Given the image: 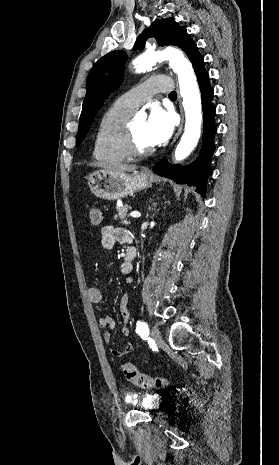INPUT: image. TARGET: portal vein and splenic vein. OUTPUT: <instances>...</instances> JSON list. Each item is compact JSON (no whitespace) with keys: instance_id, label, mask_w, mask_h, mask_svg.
<instances>
[{"instance_id":"18ae733b","label":"portal vein and splenic vein","mask_w":279,"mask_h":465,"mask_svg":"<svg viewBox=\"0 0 279 465\" xmlns=\"http://www.w3.org/2000/svg\"><path fill=\"white\" fill-rule=\"evenodd\" d=\"M130 216L132 218H139L141 216V214L138 211H133V212L130 213Z\"/></svg>"}]
</instances>
